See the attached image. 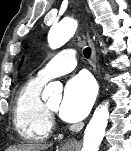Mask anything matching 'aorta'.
<instances>
[{
  "instance_id": "aorta-1",
  "label": "aorta",
  "mask_w": 131,
  "mask_h": 151,
  "mask_svg": "<svg viewBox=\"0 0 131 151\" xmlns=\"http://www.w3.org/2000/svg\"><path fill=\"white\" fill-rule=\"evenodd\" d=\"M77 21L72 18L62 20L57 25H54L49 32L48 41L53 49L64 45L76 32ZM56 87V84L51 83L46 88V93H51ZM109 119L108 104H102L95 110L89 124L87 125L83 147L81 151H98L103 140L105 130Z\"/></svg>"
}]
</instances>
